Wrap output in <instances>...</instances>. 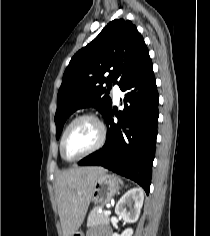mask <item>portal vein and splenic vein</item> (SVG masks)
Here are the masks:
<instances>
[{
  "label": "portal vein and splenic vein",
  "mask_w": 210,
  "mask_h": 236,
  "mask_svg": "<svg viewBox=\"0 0 210 236\" xmlns=\"http://www.w3.org/2000/svg\"><path fill=\"white\" fill-rule=\"evenodd\" d=\"M104 214H105V215H110V214H111V211L107 209V210L104 211Z\"/></svg>",
  "instance_id": "portal-vein-and-splenic-vein-1"
}]
</instances>
